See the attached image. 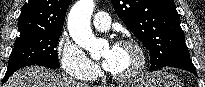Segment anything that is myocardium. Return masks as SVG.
I'll use <instances>...</instances> for the list:
<instances>
[{"mask_svg":"<svg viewBox=\"0 0 205 87\" xmlns=\"http://www.w3.org/2000/svg\"><path fill=\"white\" fill-rule=\"evenodd\" d=\"M115 46H124V47L133 48L138 54V58H139L138 64L132 71L126 74H117L108 71L107 75L112 79L120 82H127L138 77L143 72L147 64V55L142 44L134 39H122L116 42Z\"/></svg>","mask_w":205,"mask_h":87,"instance_id":"f54148a6","label":"myocardium"}]
</instances>
